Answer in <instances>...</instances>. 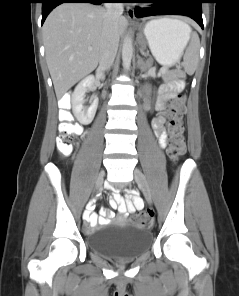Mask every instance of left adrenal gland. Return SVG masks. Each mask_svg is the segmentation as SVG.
Returning <instances> with one entry per match:
<instances>
[{"label": "left adrenal gland", "instance_id": "left-adrenal-gland-1", "mask_svg": "<svg viewBox=\"0 0 239 296\" xmlns=\"http://www.w3.org/2000/svg\"><path fill=\"white\" fill-rule=\"evenodd\" d=\"M140 52L144 55V51H143V49H141L140 48ZM142 59L141 58H139V61H138V67L141 69L142 68Z\"/></svg>", "mask_w": 239, "mask_h": 296}]
</instances>
